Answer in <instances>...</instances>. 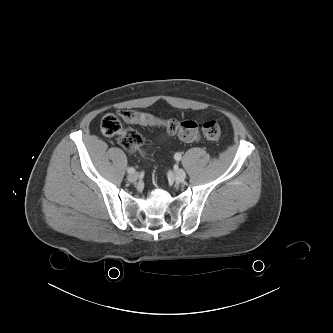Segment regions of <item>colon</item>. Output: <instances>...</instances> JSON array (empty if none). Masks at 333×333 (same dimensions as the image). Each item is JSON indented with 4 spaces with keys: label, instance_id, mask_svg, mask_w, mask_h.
Here are the masks:
<instances>
[{
    "label": "colon",
    "instance_id": "colon-1",
    "mask_svg": "<svg viewBox=\"0 0 333 333\" xmlns=\"http://www.w3.org/2000/svg\"><path fill=\"white\" fill-rule=\"evenodd\" d=\"M120 118L132 124L163 125L169 134L177 135L186 142L198 141L201 137L207 140H217L221 135V127L216 120L206 121L200 130L198 124L192 120L161 121L149 114L129 110L121 111L118 115L106 114L100 123L102 133L106 136H118L119 144L131 153L141 152L144 139L133 128L123 129Z\"/></svg>",
    "mask_w": 333,
    "mask_h": 333
}]
</instances>
